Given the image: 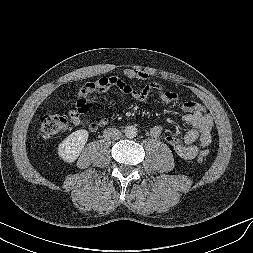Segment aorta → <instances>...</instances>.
Wrapping results in <instances>:
<instances>
[{"mask_svg":"<svg viewBox=\"0 0 253 253\" xmlns=\"http://www.w3.org/2000/svg\"><path fill=\"white\" fill-rule=\"evenodd\" d=\"M124 134L127 138H134L137 136V128L133 125L126 126Z\"/></svg>","mask_w":253,"mask_h":253,"instance_id":"aorta-1","label":"aorta"}]
</instances>
